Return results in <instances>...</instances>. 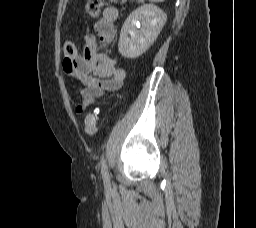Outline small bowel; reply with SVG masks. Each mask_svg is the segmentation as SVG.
Returning a JSON list of instances; mask_svg holds the SVG:
<instances>
[{
  "label": "small bowel",
  "mask_w": 256,
  "mask_h": 228,
  "mask_svg": "<svg viewBox=\"0 0 256 228\" xmlns=\"http://www.w3.org/2000/svg\"><path fill=\"white\" fill-rule=\"evenodd\" d=\"M118 14L116 7L105 8L101 18L94 25L96 37L87 35L83 53H78L72 60L66 57L64 59V71L82 84L80 95L83 103L77 107L78 113L93 104L105 92L116 91L123 86L126 71L118 66L117 58L101 50V47L109 45L115 38L114 22Z\"/></svg>",
  "instance_id": "c3829d8e"
}]
</instances>
